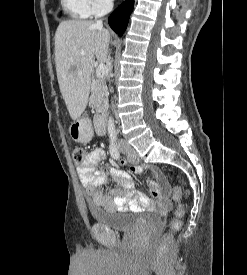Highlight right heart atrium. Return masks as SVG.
I'll list each match as a JSON object with an SVG mask.
<instances>
[{
  "label": "right heart atrium",
  "instance_id": "d8ad5b80",
  "mask_svg": "<svg viewBox=\"0 0 247 275\" xmlns=\"http://www.w3.org/2000/svg\"><path fill=\"white\" fill-rule=\"evenodd\" d=\"M93 14L100 15L112 8L114 0H90Z\"/></svg>",
  "mask_w": 247,
  "mask_h": 275
}]
</instances>
